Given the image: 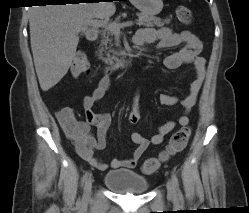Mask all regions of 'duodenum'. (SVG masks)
I'll return each instance as SVG.
<instances>
[{
	"label": "duodenum",
	"instance_id": "410a0bca",
	"mask_svg": "<svg viewBox=\"0 0 249 213\" xmlns=\"http://www.w3.org/2000/svg\"><path fill=\"white\" fill-rule=\"evenodd\" d=\"M98 35H99V32L97 29H90L88 32H87V39L90 40V41H95L97 40L98 38ZM126 65V61L125 60H120L116 63L115 67L117 68H122Z\"/></svg>",
	"mask_w": 249,
	"mask_h": 213
}]
</instances>
